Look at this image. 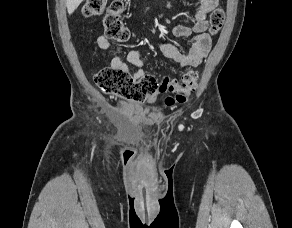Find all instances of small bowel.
<instances>
[{
	"label": "small bowel",
	"instance_id": "small-bowel-1",
	"mask_svg": "<svg viewBox=\"0 0 292 228\" xmlns=\"http://www.w3.org/2000/svg\"><path fill=\"white\" fill-rule=\"evenodd\" d=\"M219 0H199L193 16V24L176 25L172 29L175 37H189L192 36V43L189 51L184 53L179 50L177 46L171 43L162 42L158 44L159 50L162 54L172 59L179 67L186 70H193L197 67L208 55L212 40L210 35L206 32L208 27L207 17L209 13L217 6ZM98 46L107 55L110 43L106 36H99L97 40ZM128 63L137 68L132 73L133 78L140 79L145 75L143 70V56L140 51L132 50L127 55ZM110 67L121 69L129 73L128 64L120 57L115 56L111 58ZM154 100L150 98V102Z\"/></svg>",
	"mask_w": 292,
	"mask_h": 228
}]
</instances>
